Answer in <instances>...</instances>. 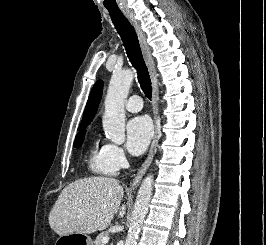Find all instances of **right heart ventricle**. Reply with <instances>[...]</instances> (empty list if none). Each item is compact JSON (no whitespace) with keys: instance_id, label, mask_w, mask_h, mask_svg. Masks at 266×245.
<instances>
[{"instance_id":"right-heart-ventricle-1","label":"right heart ventricle","mask_w":266,"mask_h":245,"mask_svg":"<svg viewBox=\"0 0 266 245\" xmlns=\"http://www.w3.org/2000/svg\"><path fill=\"white\" fill-rule=\"evenodd\" d=\"M88 156V168L93 174L101 177H113L117 174V169L111 164L104 145L97 141L91 143Z\"/></svg>"}]
</instances>
